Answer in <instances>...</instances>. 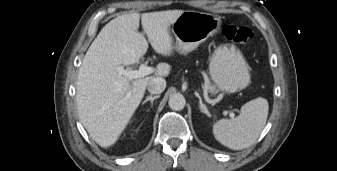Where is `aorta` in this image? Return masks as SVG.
<instances>
[{
	"label": "aorta",
	"instance_id": "1",
	"mask_svg": "<svg viewBox=\"0 0 337 171\" xmlns=\"http://www.w3.org/2000/svg\"><path fill=\"white\" fill-rule=\"evenodd\" d=\"M168 104L172 110L180 111L185 107L186 100L182 94L176 93L170 96Z\"/></svg>",
	"mask_w": 337,
	"mask_h": 171
}]
</instances>
